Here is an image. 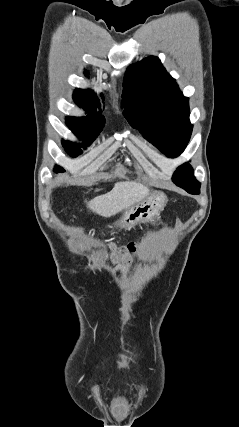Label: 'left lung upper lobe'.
Instances as JSON below:
<instances>
[{
    "label": "left lung upper lobe",
    "mask_w": 239,
    "mask_h": 427,
    "mask_svg": "<svg viewBox=\"0 0 239 427\" xmlns=\"http://www.w3.org/2000/svg\"><path fill=\"white\" fill-rule=\"evenodd\" d=\"M123 87L121 107L129 123L168 157L180 155L192 132L189 99L160 60L150 56L129 66ZM173 182L184 189L200 188L188 163L177 168Z\"/></svg>",
    "instance_id": "obj_1"
}]
</instances>
